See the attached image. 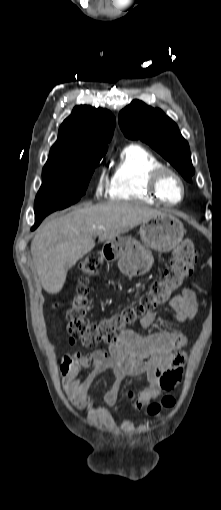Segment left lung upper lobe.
<instances>
[{
	"mask_svg": "<svg viewBox=\"0 0 221 510\" xmlns=\"http://www.w3.org/2000/svg\"><path fill=\"white\" fill-rule=\"evenodd\" d=\"M119 124L129 139H140L168 160L187 180L194 174L190 149L178 126L158 108L134 100L119 113Z\"/></svg>",
	"mask_w": 221,
	"mask_h": 510,
	"instance_id": "5c2ea615",
	"label": "left lung upper lobe"
}]
</instances>
